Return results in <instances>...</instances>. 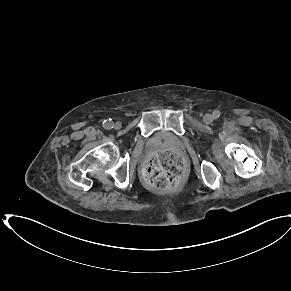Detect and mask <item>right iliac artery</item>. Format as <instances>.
I'll return each mask as SVG.
<instances>
[{
    "label": "right iliac artery",
    "instance_id": "82829eb1",
    "mask_svg": "<svg viewBox=\"0 0 291 291\" xmlns=\"http://www.w3.org/2000/svg\"><path fill=\"white\" fill-rule=\"evenodd\" d=\"M103 127L106 128V129H112L113 128V122L111 121V119L109 120H105L103 122Z\"/></svg>",
    "mask_w": 291,
    "mask_h": 291
}]
</instances>
